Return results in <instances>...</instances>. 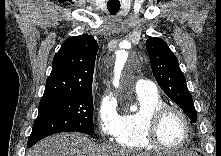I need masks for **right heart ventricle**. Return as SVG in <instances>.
Wrapping results in <instances>:
<instances>
[{
	"label": "right heart ventricle",
	"instance_id": "obj_1",
	"mask_svg": "<svg viewBox=\"0 0 221 156\" xmlns=\"http://www.w3.org/2000/svg\"><path fill=\"white\" fill-rule=\"evenodd\" d=\"M138 109L132 113L119 115L118 129L115 135L116 143L132 150H152L146 139L145 127L151 112L165 104L157 92L136 93Z\"/></svg>",
	"mask_w": 221,
	"mask_h": 156
}]
</instances>
